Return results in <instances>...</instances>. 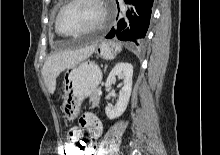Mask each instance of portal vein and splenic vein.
Segmentation results:
<instances>
[{"instance_id":"18ae733b","label":"portal vein and splenic vein","mask_w":220,"mask_h":155,"mask_svg":"<svg viewBox=\"0 0 220 155\" xmlns=\"http://www.w3.org/2000/svg\"><path fill=\"white\" fill-rule=\"evenodd\" d=\"M101 94V91H98V95H100Z\"/></svg>"}]
</instances>
